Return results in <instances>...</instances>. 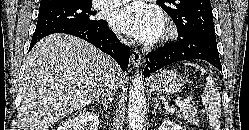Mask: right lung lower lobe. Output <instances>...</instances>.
Listing matches in <instances>:
<instances>
[{"label": "right lung lower lobe", "instance_id": "98d812e1", "mask_svg": "<svg viewBox=\"0 0 249 130\" xmlns=\"http://www.w3.org/2000/svg\"><path fill=\"white\" fill-rule=\"evenodd\" d=\"M53 33H66L84 39L113 57L123 71L127 70L130 48L120 43L117 36L107 27L106 21L101 20L97 24H61L36 29L29 50L40 39Z\"/></svg>", "mask_w": 249, "mask_h": 130}]
</instances>
